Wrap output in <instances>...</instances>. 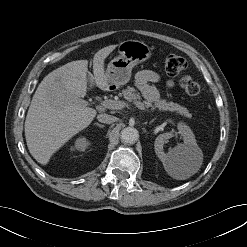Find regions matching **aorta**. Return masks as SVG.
Returning <instances> with one entry per match:
<instances>
[{"instance_id": "obj_1", "label": "aorta", "mask_w": 247, "mask_h": 247, "mask_svg": "<svg viewBox=\"0 0 247 247\" xmlns=\"http://www.w3.org/2000/svg\"><path fill=\"white\" fill-rule=\"evenodd\" d=\"M139 137V132L134 127H126L121 131V140L122 142L132 144Z\"/></svg>"}]
</instances>
